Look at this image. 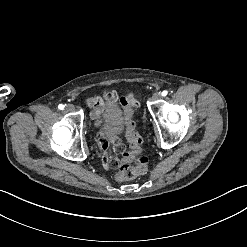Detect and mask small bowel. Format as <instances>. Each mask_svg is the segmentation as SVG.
I'll list each match as a JSON object with an SVG mask.
<instances>
[{
  "mask_svg": "<svg viewBox=\"0 0 247 247\" xmlns=\"http://www.w3.org/2000/svg\"><path fill=\"white\" fill-rule=\"evenodd\" d=\"M117 93L115 91L108 92L103 97H91L87 99L86 104L92 108L91 118L99 121L104 111L110 114L107 117V135L99 133L96 136V141L99 143V151L101 155V165L108 170H113L116 167V162L112 159L110 150V142L114 145V151L117 154H122L125 149L130 146V140L127 137H122L118 133V117L113 114L116 111V106L112 103L117 100Z\"/></svg>",
  "mask_w": 247,
  "mask_h": 247,
  "instance_id": "small-bowel-1",
  "label": "small bowel"
}]
</instances>
